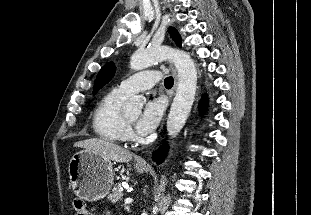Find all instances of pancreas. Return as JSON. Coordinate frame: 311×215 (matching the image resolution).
Segmentation results:
<instances>
[{"instance_id": "1", "label": "pancreas", "mask_w": 311, "mask_h": 215, "mask_svg": "<svg viewBox=\"0 0 311 215\" xmlns=\"http://www.w3.org/2000/svg\"><path fill=\"white\" fill-rule=\"evenodd\" d=\"M122 189V185L118 184L112 189V192L108 195V199H110L112 203H117L123 196Z\"/></svg>"}]
</instances>
